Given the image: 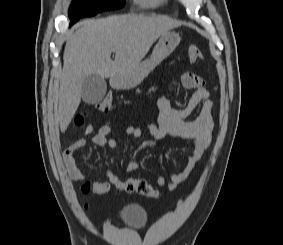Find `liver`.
<instances>
[{
  "label": "liver",
  "instance_id": "6515ba94",
  "mask_svg": "<svg viewBox=\"0 0 283 245\" xmlns=\"http://www.w3.org/2000/svg\"><path fill=\"white\" fill-rule=\"evenodd\" d=\"M178 26L169 19L143 15L81 22L67 39L63 55L57 111L61 132L66 131L81 102L82 83L87 76L113 79L134 68L159 37Z\"/></svg>",
  "mask_w": 283,
  "mask_h": 245
}]
</instances>
